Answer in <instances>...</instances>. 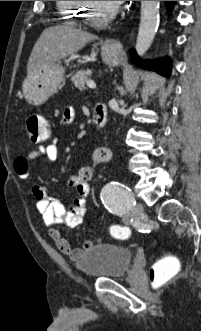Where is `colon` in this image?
<instances>
[{
	"label": "colon",
	"mask_w": 201,
	"mask_h": 331,
	"mask_svg": "<svg viewBox=\"0 0 201 331\" xmlns=\"http://www.w3.org/2000/svg\"><path fill=\"white\" fill-rule=\"evenodd\" d=\"M27 136L33 143H43L50 136V126L45 118L33 114L27 118ZM111 235L119 240L127 239L130 230L126 226L114 225L110 229ZM180 262L176 257L165 256L157 260L150 269V280L152 288L160 291L168 286L180 272Z\"/></svg>",
	"instance_id": "1"
}]
</instances>
